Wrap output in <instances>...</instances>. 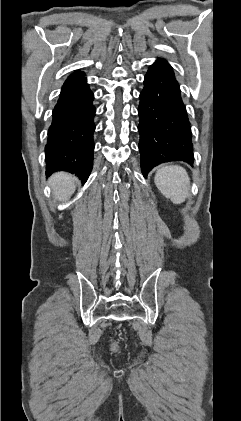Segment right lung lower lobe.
I'll list each match as a JSON object with an SVG mask.
<instances>
[{"instance_id": "obj_1", "label": "right lung lower lobe", "mask_w": 241, "mask_h": 421, "mask_svg": "<svg viewBox=\"0 0 241 421\" xmlns=\"http://www.w3.org/2000/svg\"><path fill=\"white\" fill-rule=\"evenodd\" d=\"M93 99L83 72H74L64 82L45 146L47 176L68 171L78 175L83 183L88 179L94 151Z\"/></svg>"}]
</instances>
